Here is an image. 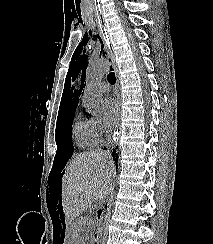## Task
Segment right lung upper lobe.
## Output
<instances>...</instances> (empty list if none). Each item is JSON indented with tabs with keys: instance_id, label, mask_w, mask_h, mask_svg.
I'll return each mask as SVG.
<instances>
[{
	"instance_id": "obj_1",
	"label": "right lung upper lobe",
	"mask_w": 213,
	"mask_h": 244,
	"mask_svg": "<svg viewBox=\"0 0 213 244\" xmlns=\"http://www.w3.org/2000/svg\"><path fill=\"white\" fill-rule=\"evenodd\" d=\"M80 95L79 91L75 90L72 98L69 100L67 103H61L60 108H59V113L58 115H62L66 112L75 110L77 105H78V96Z\"/></svg>"
}]
</instances>
